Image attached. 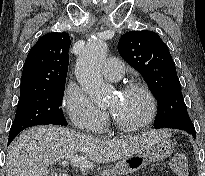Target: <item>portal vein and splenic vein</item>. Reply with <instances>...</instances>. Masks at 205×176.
Here are the masks:
<instances>
[{"label":"portal vein and splenic vein","instance_id":"obj_1","mask_svg":"<svg viewBox=\"0 0 205 176\" xmlns=\"http://www.w3.org/2000/svg\"><path fill=\"white\" fill-rule=\"evenodd\" d=\"M68 164H69V162L67 161V160H63L62 162H61V165L62 166H68Z\"/></svg>","mask_w":205,"mask_h":176}]
</instances>
